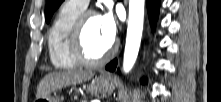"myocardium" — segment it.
Here are the masks:
<instances>
[{
  "label": "myocardium",
  "instance_id": "1",
  "mask_svg": "<svg viewBox=\"0 0 221 102\" xmlns=\"http://www.w3.org/2000/svg\"><path fill=\"white\" fill-rule=\"evenodd\" d=\"M93 16H97V14L92 11L83 12L76 20L70 35L72 56L79 64L88 67H96L105 63L115 51V45L112 43L108 50L98 58H91L86 54L83 43L84 29L88 19Z\"/></svg>",
  "mask_w": 221,
  "mask_h": 102
}]
</instances>
